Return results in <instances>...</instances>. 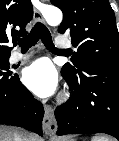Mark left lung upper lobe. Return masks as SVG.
Wrapping results in <instances>:
<instances>
[{
  "mask_svg": "<svg viewBox=\"0 0 119 141\" xmlns=\"http://www.w3.org/2000/svg\"><path fill=\"white\" fill-rule=\"evenodd\" d=\"M64 18L58 32L69 34L77 52L61 72L77 77L86 70L119 69V36L113 9L108 0H51Z\"/></svg>",
  "mask_w": 119,
  "mask_h": 141,
  "instance_id": "5c2ea615",
  "label": "left lung upper lobe"
}]
</instances>
